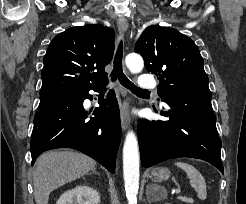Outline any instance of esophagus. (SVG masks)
Listing matches in <instances>:
<instances>
[{
  "label": "esophagus",
  "instance_id": "obj_1",
  "mask_svg": "<svg viewBox=\"0 0 246 204\" xmlns=\"http://www.w3.org/2000/svg\"><path fill=\"white\" fill-rule=\"evenodd\" d=\"M117 26H118L119 33L123 36L128 29L127 19L124 17H119L117 20ZM120 121H121L122 129L124 131L127 130L131 122L127 101H123L120 103Z\"/></svg>",
  "mask_w": 246,
  "mask_h": 204
}]
</instances>
